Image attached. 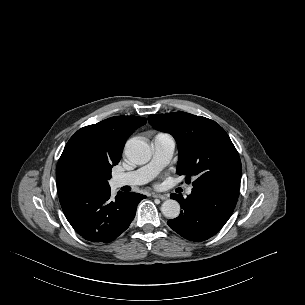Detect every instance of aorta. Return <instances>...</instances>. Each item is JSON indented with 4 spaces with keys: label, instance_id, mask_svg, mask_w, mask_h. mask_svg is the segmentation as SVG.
Instances as JSON below:
<instances>
[{
    "label": "aorta",
    "instance_id": "762f6f07",
    "mask_svg": "<svg viewBox=\"0 0 305 305\" xmlns=\"http://www.w3.org/2000/svg\"><path fill=\"white\" fill-rule=\"evenodd\" d=\"M124 152L128 160L137 165L146 164L151 158L149 144L138 138L128 140L125 144ZM161 211L166 218L174 219L180 214V205L176 200L168 199L163 202Z\"/></svg>",
    "mask_w": 305,
    "mask_h": 305
}]
</instances>
